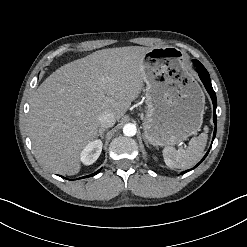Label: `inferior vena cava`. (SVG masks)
<instances>
[{"instance_id": "1", "label": "inferior vena cava", "mask_w": 247, "mask_h": 247, "mask_svg": "<svg viewBox=\"0 0 247 247\" xmlns=\"http://www.w3.org/2000/svg\"><path fill=\"white\" fill-rule=\"evenodd\" d=\"M116 122V118L113 113L104 112L99 116V124L101 129L112 127Z\"/></svg>"}]
</instances>
